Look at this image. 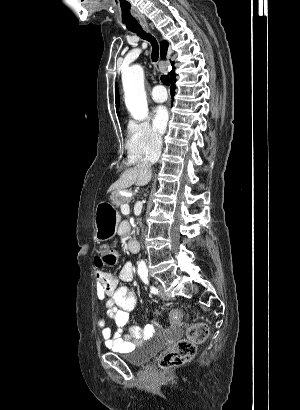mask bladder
Returning a JSON list of instances; mask_svg holds the SVG:
<instances>
[{
  "mask_svg": "<svg viewBox=\"0 0 300 410\" xmlns=\"http://www.w3.org/2000/svg\"><path fill=\"white\" fill-rule=\"evenodd\" d=\"M160 347V344L151 345L141 342L132 351L123 354L122 359L131 365L142 366L157 354Z\"/></svg>",
  "mask_w": 300,
  "mask_h": 410,
  "instance_id": "1",
  "label": "bladder"
}]
</instances>
